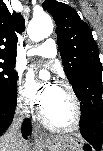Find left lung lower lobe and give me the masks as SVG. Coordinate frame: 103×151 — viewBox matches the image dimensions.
Listing matches in <instances>:
<instances>
[{
  "mask_svg": "<svg viewBox=\"0 0 103 151\" xmlns=\"http://www.w3.org/2000/svg\"><path fill=\"white\" fill-rule=\"evenodd\" d=\"M81 103L80 131L96 151H101L103 139L102 69L89 70L85 78L73 87Z\"/></svg>",
  "mask_w": 103,
  "mask_h": 151,
  "instance_id": "1",
  "label": "left lung lower lobe"
}]
</instances>
